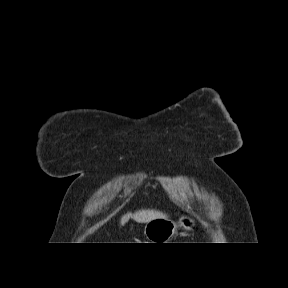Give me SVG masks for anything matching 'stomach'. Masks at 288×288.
Instances as JSON below:
<instances>
[{
    "instance_id": "0dacf381",
    "label": "stomach",
    "mask_w": 288,
    "mask_h": 288,
    "mask_svg": "<svg viewBox=\"0 0 288 288\" xmlns=\"http://www.w3.org/2000/svg\"><path fill=\"white\" fill-rule=\"evenodd\" d=\"M179 224L186 229H190L195 225V221L187 216H183L179 220ZM177 224L166 218L153 219L146 223L144 227V235L149 243H168L176 233Z\"/></svg>"
}]
</instances>
